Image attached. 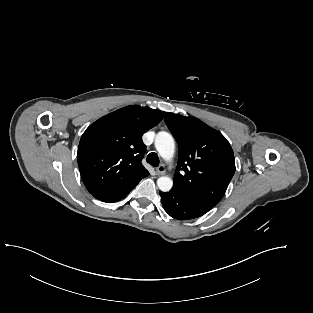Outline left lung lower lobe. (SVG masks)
I'll use <instances>...</instances> for the list:
<instances>
[{
    "label": "left lung lower lobe",
    "instance_id": "obj_1",
    "mask_svg": "<svg viewBox=\"0 0 313 313\" xmlns=\"http://www.w3.org/2000/svg\"><path fill=\"white\" fill-rule=\"evenodd\" d=\"M165 211L178 220H188L200 217L211 210L214 205L203 200L187 196L171 189L169 192H159Z\"/></svg>",
    "mask_w": 313,
    "mask_h": 313
}]
</instances>
